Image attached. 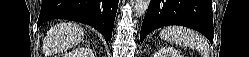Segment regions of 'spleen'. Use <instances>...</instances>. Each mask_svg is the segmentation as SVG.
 Listing matches in <instances>:
<instances>
[{
    "instance_id": "3e777b00",
    "label": "spleen",
    "mask_w": 249,
    "mask_h": 57,
    "mask_svg": "<svg viewBox=\"0 0 249 57\" xmlns=\"http://www.w3.org/2000/svg\"><path fill=\"white\" fill-rule=\"evenodd\" d=\"M160 38L170 43L195 48L201 52L204 57H208L207 42L195 31L180 26H169L159 34Z\"/></svg>"
}]
</instances>
